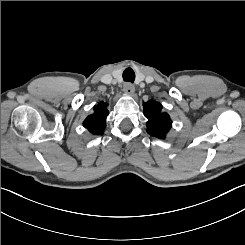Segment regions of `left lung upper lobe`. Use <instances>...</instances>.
Masks as SVG:
<instances>
[{"label":"left lung upper lobe","mask_w":245,"mask_h":245,"mask_svg":"<svg viewBox=\"0 0 245 245\" xmlns=\"http://www.w3.org/2000/svg\"><path fill=\"white\" fill-rule=\"evenodd\" d=\"M144 115L148 119L147 133L151 136L163 139L171 128L172 121L166 112H162L159 102L150 100L143 104Z\"/></svg>","instance_id":"obj_1"}]
</instances>
